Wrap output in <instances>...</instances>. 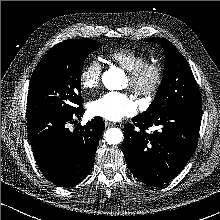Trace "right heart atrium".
<instances>
[{
    "instance_id": "right-heart-atrium-1",
    "label": "right heart atrium",
    "mask_w": 220,
    "mask_h": 220,
    "mask_svg": "<svg viewBox=\"0 0 220 220\" xmlns=\"http://www.w3.org/2000/svg\"><path fill=\"white\" fill-rule=\"evenodd\" d=\"M102 75V64L97 59L88 61L82 68L79 76L81 89L93 91L99 87Z\"/></svg>"
}]
</instances>
